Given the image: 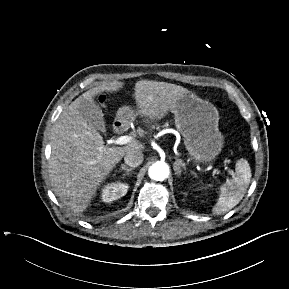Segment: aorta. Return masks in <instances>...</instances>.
Returning <instances> with one entry per match:
<instances>
[{
  "label": "aorta",
  "instance_id": "762f6f07",
  "mask_svg": "<svg viewBox=\"0 0 289 289\" xmlns=\"http://www.w3.org/2000/svg\"><path fill=\"white\" fill-rule=\"evenodd\" d=\"M148 175L155 181H163L169 175V167L165 162L157 161L149 167Z\"/></svg>",
  "mask_w": 289,
  "mask_h": 289
}]
</instances>
